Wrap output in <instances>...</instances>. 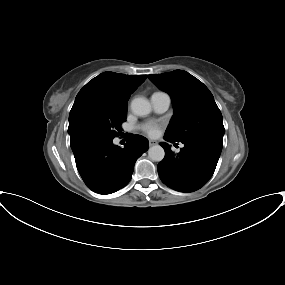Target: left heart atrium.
Here are the masks:
<instances>
[{
  "instance_id": "left-heart-atrium-1",
  "label": "left heart atrium",
  "mask_w": 285,
  "mask_h": 285,
  "mask_svg": "<svg viewBox=\"0 0 285 285\" xmlns=\"http://www.w3.org/2000/svg\"><path fill=\"white\" fill-rule=\"evenodd\" d=\"M140 129L149 136H155L159 131V125L156 122H147L142 124Z\"/></svg>"
}]
</instances>
